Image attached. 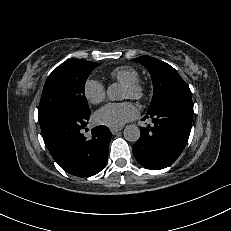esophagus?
<instances>
[{"label":"esophagus","mask_w":231,"mask_h":231,"mask_svg":"<svg viewBox=\"0 0 231 231\" xmlns=\"http://www.w3.org/2000/svg\"><path fill=\"white\" fill-rule=\"evenodd\" d=\"M121 130H122V128H111V129H110L111 133L114 134V135H115L116 133H118L119 131H121Z\"/></svg>","instance_id":"1"}]
</instances>
